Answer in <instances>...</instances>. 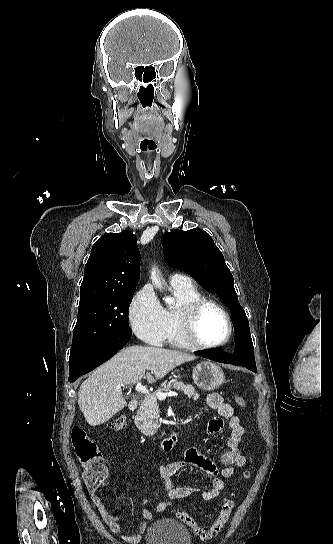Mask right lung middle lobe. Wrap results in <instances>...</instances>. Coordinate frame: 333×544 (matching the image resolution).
Here are the masks:
<instances>
[{
	"label": "right lung middle lobe",
	"mask_w": 333,
	"mask_h": 544,
	"mask_svg": "<svg viewBox=\"0 0 333 544\" xmlns=\"http://www.w3.org/2000/svg\"><path fill=\"white\" fill-rule=\"evenodd\" d=\"M134 292H108L79 304L69 364L82 359L109 338L132 333L128 325V309Z\"/></svg>",
	"instance_id": "1"
}]
</instances>
